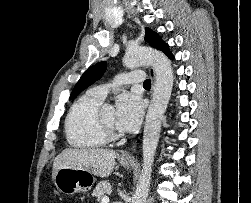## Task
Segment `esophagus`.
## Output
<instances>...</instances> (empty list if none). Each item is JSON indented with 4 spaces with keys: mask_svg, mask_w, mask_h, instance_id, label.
Wrapping results in <instances>:
<instances>
[{
    "mask_svg": "<svg viewBox=\"0 0 251 203\" xmlns=\"http://www.w3.org/2000/svg\"><path fill=\"white\" fill-rule=\"evenodd\" d=\"M149 75L152 79V89L154 88V85H155V71H154V68L153 67H149ZM152 92V91H151ZM137 145V142H135L132 146V149H134ZM121 158L123 159H131L132 158V154L130 151H126L124 152L122 155H121Z\"/></svg>",
    "mask_w": 251,
    "mask_h": 203,
    "instance_id": "obj_1",
    "label": "esophagus"
}]
</instances>
